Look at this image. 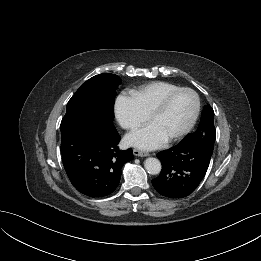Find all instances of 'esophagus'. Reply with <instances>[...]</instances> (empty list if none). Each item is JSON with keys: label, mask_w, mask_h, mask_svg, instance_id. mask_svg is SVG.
Returning <instances> with one entry per match:
<instances>
[{"label": "esophagus", "mask_w": 261, "mask_h": 261, "mask_svg": "<svg viewBox=\"0 0 261 261\" xmlns=\"http://www.w3.org/2000/svg\"><path fill=\"white\" fill-rule=\"evenodd\" d=\"M133 153H134L135 156H138V157H146V156H149L148 153L143 152V151H141V150H139V149H134V150H133Z\"/></svg>", "instance_id": "obj_1"}]
</instances>
